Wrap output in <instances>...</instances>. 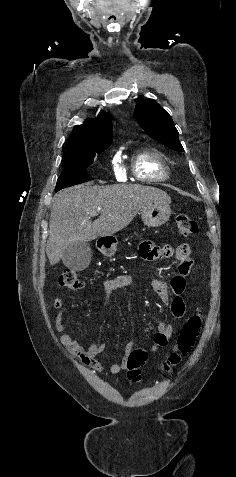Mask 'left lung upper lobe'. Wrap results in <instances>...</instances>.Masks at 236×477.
<instances>
[{
  "label": "left lung upper lobe",
  "instance_id": "left-lung-upper-lobe-1",
  "mask_svg": "<svg viewBox=\"0 0 236 477\" xmlns=\"http://www.w3.org/2000/svg\"><path fill=\"white\" fill-rule=\"evenodd\" d=\"M135 114L139 125L151 138L172 150L184 152L172 118L157 102L141 100Z\"/></svg>",
  "mask_w": 236,
  "mask_h": 477
}]
</instances>
